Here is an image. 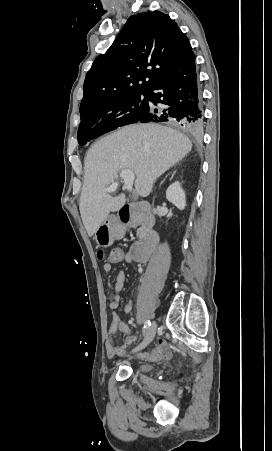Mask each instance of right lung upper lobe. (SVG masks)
<instances>
[{
    "instance_id": "right-lung-upper-lobe-1",
    "label": "right lung upper lobe",
    "mask_w": 272,
    "mask_h": 451,
    "mask_svg": "<svg viewBox=\"0 0 272 451\" xmlns=\"http://www.w3.org/2000/svg\"><path fill=\"white\" fill-rule=\"evenodd\" d=\"M191 51L188 38L167 14L131 16L88 71L80 113L110 100L149 93Z\"/></svg>"
}]
</instances>
